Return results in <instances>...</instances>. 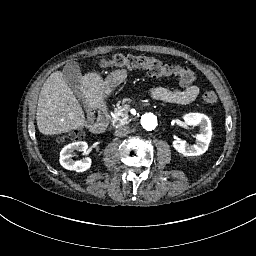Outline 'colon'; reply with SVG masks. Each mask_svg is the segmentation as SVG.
<instances>
[{"instance_id":"5ec220e1","label":"colon","mask_w":256,"mask_h":256,"mask_svg":"<svg viewBox=\"0 0 256 256\" xmlns=\"http://www.w3.org/2000/svg\"><path fill=\"white\" fill-rule=\"evenodd\" d=\"M105 65L115 70H146L153 77L176 75L179 81L185 85L192 84L196 80V73L193 70L186 67L172 66L151 56L118 54L106 61ZM202 98L205 103L213 104L217 102V96L212 91H205ZM82 135V130H72L69 133V138L78 140Z\"/></svg>"}]
</instances>
